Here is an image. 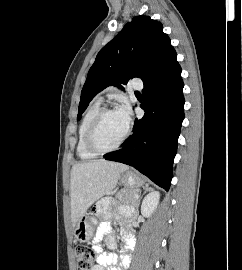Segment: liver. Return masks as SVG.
<instances>
[{"instance_id": "liver-1", "label": "liver", "mask_w": 242, "mask_h": 270, "mask_svg": "<svg viewBox=\"0 0 242 270\" xmlns=\"http://www.w3.org/2000/svg\"><path fill=\"white\" fill-rule=\"evenodd\" d=\"M128 166L106 160L77 163L71 170V220L77 221L103 196L112 193Z\"/></svg>"}]
</instances>
